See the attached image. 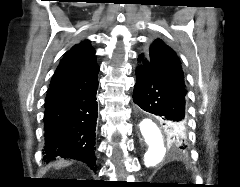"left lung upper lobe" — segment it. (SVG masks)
I'll return each mask as SVG.
<instances>
[{
  "mask_svg": "<svg viewBox=\"0 0 240 187\" xmlns=\"http://www.w3.org/2000/svg\"><path fill=\"white\" fill-rule=\"evenodd\" d=\"M143 55H140V57ZM149 63L166 79L174 82L175 84L185 87L184 84V75L181 68V63L175 53V51L166 45L161 39H155L150 46L149 52ZM162 125L167 134L168 141L171 144H175L171 139V136L168 134L167 127L165 122L162 121ZM178 131H185L183 125L175 124ZM182 141L179 140V143L176 144L177 148L185 149L187 146V136L183 135Z\"/></svg>",
  "mask_w": 240,
  "mask_h": 187,
  "instance_id": "5c2ea615",
  "label": "left lung upper lobe"
}]
</instances>
